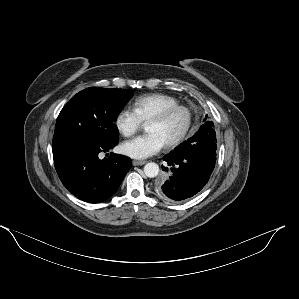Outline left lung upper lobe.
<instances>
[{
	"label": "left lung upper lobe",
	"instance_id": "obj_1",
	"mask_svg": "<svg viewBox=\"0 0 299 299\" xmlns=\"http://www.w3.org/2000/svg\"><path fill=\"white\" fill-rule=\"evenodd\" d=\"M203 136L207 139V141H210V148L213 149L211 155L216 156V133L213 123L208 119V116L205 117L204 124L200 126L199 130L190 139L177 146L173 151H179L183 147L184 143H195Z\"/></svg>",
	"mask_w": 299,
	"mask_h": 299
}]
</instances>
